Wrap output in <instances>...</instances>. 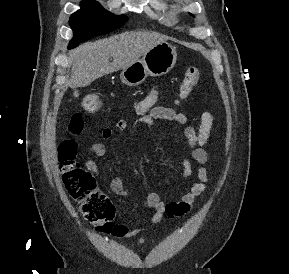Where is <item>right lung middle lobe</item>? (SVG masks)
Returning <instances> with one entry per match:
<instances>
[{"label": "right lung middle lobe", "mask_w": 289, "mask_h": 274, "mask_svg": "<svg viewBox=\"0 0 289 274\" xmlns=\"http://www.w3.org/2000/svg\"><path fill=\"white\" fill-rule=\"evenodd\" d=\"M128 18L124 15L115 16L104 10L94 0H84L81 9L70 17V26L74 31L68 48H75L80 42H84L94 36L108 34L122 27Z\"/></svg>", "instance_id": "dd1d6c3e"}]
</instances>
